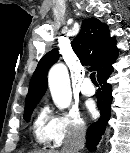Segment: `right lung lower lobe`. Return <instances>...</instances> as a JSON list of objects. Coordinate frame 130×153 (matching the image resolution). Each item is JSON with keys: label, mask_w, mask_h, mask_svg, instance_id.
Wrapping results in <instances>:
<instances>
[{"label": "right lung lower lobe", "mask_w": 130, "mask_h": 153, "mask_svg": "<svg viewBox=\"0 0 130 153\" xmlns=\"http://www.w3.org/2000/svg\"><path fill=\"white\" fill-rule=\"evenodd\" d=\"M113 72L112 65L102 74L97 76L101 88L96 93L97 106L100 109L101 116L99 120L91 124L87 130L86 146L89 150L94 151L99 143L101 136L105 131L106 124L111 114L112 87L107 83V79Z\"/></svg>", "instance_id": "obj_1"}]
</instances>
